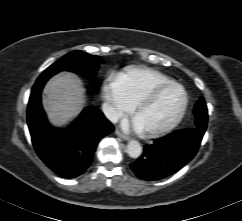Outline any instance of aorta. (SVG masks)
Listing matches in <instances>:
<instances>
[{"label":"aorta","mask_w":242,"mask_h":221,"mask_svg":"<svg viewBox=\"0 0 242 221\" xmlns=\"http://www.w3.org/2000/svg\"><path fill=\"white\" fill-rule=\"evenodd\" d=\"M127 153L131 158H138L142 154L141 144L136 140H131L127 145Z\"/></svg>","instance_id":"obj_1"}]
</instances>
